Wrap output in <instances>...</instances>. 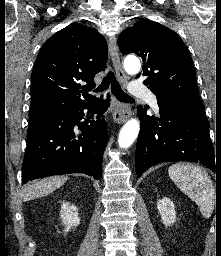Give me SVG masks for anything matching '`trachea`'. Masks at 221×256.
I'll return each instance as SVG.
<instances>
[{"label": "trachea", "mask_w": 221, "mask_h": 256, "mask_svg": "<svg viewBox=\"0 0 221 256\" xmlns=\"http://www.w3.org/2000/svg\"><path fill=\"white\" fill-rule=\"evenodd\" d=\"M111 85V91L114 96L121 102H132L134 99L126 94L116 80V77L112 71L108 72L107 76L104 77L101 85L95 90L96 92L104 91Z\"/></svg>", "instance_id": "3493384b"}]
</instances>
